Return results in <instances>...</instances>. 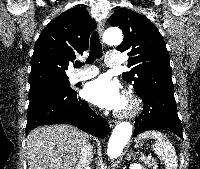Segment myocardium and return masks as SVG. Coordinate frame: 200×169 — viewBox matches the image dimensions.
<instances>
[{
  "instance_id": "f54148a6",
  "label": "myocardium",
  "mask_w": 200,
  "mask_h": 169,
  "mask_svg": "<svg viewBox=\"0 0 200 169\" xmlns=\"http://www.w3.org/2000/svg\"><path fill=\"white\" fill-rule=\"evenodd\" d=\"M123 98L126 105L117 111V116L120 118H132L136 116L141 110V100L131 91H126Z\"/></svg>"
}]
</instances>
